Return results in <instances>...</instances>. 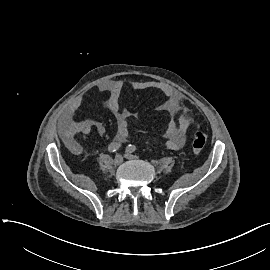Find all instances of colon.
I'll return each mask as SVG.
<instances>
[{
    "mask_svg": "<svg viewBox=\"0 0 270 270\" xmlns=\"http://www.w3.org/2000/svg\"><path fill=\"white\" fill-rule=\"evenodd\" d=\"M207 142V137L202 130H195L192 134V149L195 152H200L204 149Z\"/></svg>",
    "mask_w": 270,
    "mask_h": 270,
    "instance_id": "colon-1",
    "label": "colon"
}]
</instances>
